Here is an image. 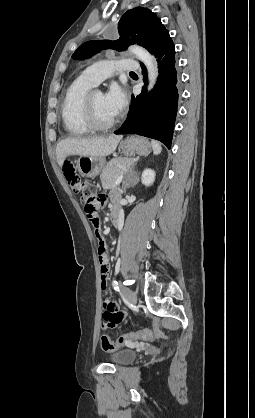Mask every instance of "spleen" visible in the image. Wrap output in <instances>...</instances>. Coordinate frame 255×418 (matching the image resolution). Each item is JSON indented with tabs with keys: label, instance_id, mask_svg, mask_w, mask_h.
Instances as JSON below:
<instances>
[{
	"label": "spleen",
	"instance_id": "1",
	"mask_svg": "<svg viewBox=\"0 0 255 418\" xmlns=\"http://www.w3.org/2000/svg\"><path fill=\"white\" fill-rule=\"evenodd\" d=\"M151 146H152V149H153V153L155 155H158V154L161 153L162 147H161V145L158 141L152 140L151 141Z\"/></svg>",
	"mask_w": 255,
	"mask_h": 418
}]
</instances>
